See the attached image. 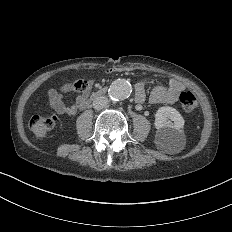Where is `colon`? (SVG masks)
<instances>
[{"mask_svg":"<svg viewBox=\"0 0 232 232\" xmlns=\"http://www.w3.org/2000/svg\"><path fill=\"white\" fill-rule=\"evenodd\" d=\"M73 88L77 92H85L89 88V83L85 79H77L73 83ZM194 94L190 90H185L181 97H178V102H183L181 111L184 114H193L197 102H192ZM27 131H33L34 137H48L49 129L53 125L50 112H37V116H31L30 120H27Z\"/></svg>","mask_w":232,"mask_h":232,"instance_id":"colon-1","label":"colon"}]
</instances>
